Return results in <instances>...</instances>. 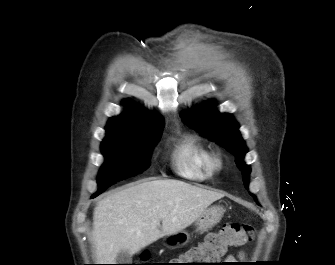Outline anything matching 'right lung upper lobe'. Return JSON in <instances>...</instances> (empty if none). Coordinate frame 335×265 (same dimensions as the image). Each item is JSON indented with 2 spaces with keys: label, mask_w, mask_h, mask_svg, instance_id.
Returning a JSON list of instances; mask_svg holds the SVG:
<instances>
[{
  "label": "right lung upper lobe",
  "mask_w": 335,
  "mask_h": 265,
  "mask_svg": "<svg viewBox=\"0 0 335 265\" xmlns=\"http://www.w3.org/2000/svg\"><path fill=\"white\" fill-rule=\"evenodd\" d=\"M127 110L118 117H113L106 126L107 133L120 129L159 128L164 126L162 118L149 112L131 101L124 102Z\"/></svg>",
  "instance_id": "right-lung-upper-lobe-1"
}]
</instances>
